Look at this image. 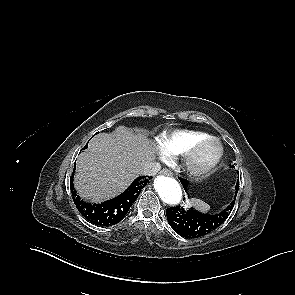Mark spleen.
Instances as JSON below:
<instances>
[{
	"label": "spleen",
	"mask_w": 295,
	"mask_h": 295,
	"mask_svg": "<svg viewBox=\"0 0 295 295\" xmlns=\"http://www.w3.org/2000/svg\"><path fill=\"white\" fill-rule=\"evenodd\" d=\"M193 205H195L198 209H200L203 212H206L210 209V206L200 199H194Z\"/></svg>",
	"instance_id": "1"
}]
</instances>
